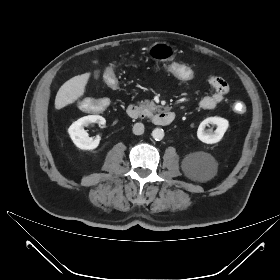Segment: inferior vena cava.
Listing matches in <instances>:
<instances>
[{"label": "inferior vena cava", "mask_w": 280, "mask_h": 280, "mask_svg": "<svg viewBox=\"0 0 280 280\" xmlns=\"http://www.w3.org/2000/svg\"><path fill=\"white\" fill-rule=\"evenodd\" d=\"M133 133L135 135H142L144 133V125L143 123H136L133 126Z\"/></svg>", "instance_id": "obj_1"}]
</instances>
